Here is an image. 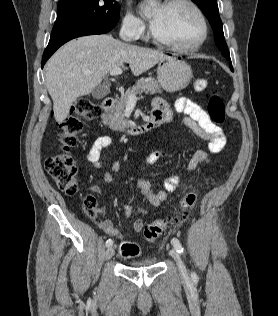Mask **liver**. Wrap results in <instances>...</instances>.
Instances as JSON below:
<instances>
[{"label":"liver","instance_id":"liver-1","mask_svg":"<svg viewBox=\"0 0 278 316\" xmlns=\"http://www.w3.org/2000/svg\"><path fill=\"white\" fill-rule=\"evenodd\" d=\"M166 57L163 52L127 44L111 35L84 36L66 43L46 66L55 120L62 123L73 102L90 94L111 70L129 64L138 76Z\"/></svg>","mask_w":278,"mask_h":316}]
</instances>
